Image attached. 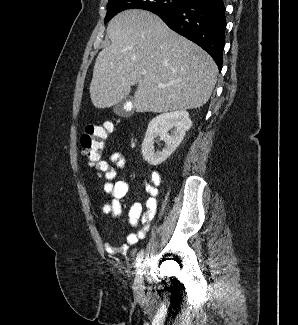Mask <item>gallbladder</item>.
<instances>
[{
    "label": "gallbladder",
    "instance_id": "bac80fb5",
    "mask_svg": "<svg viewBox=\"0 0 298 325\" xmlns=\"http://www.w3.org/2000/svg\"><path fill=\"white\" fill-rule=\"evenodd\" d=\"M129 100L130 96L123 98L121 102H118V104H115V106H113V112H115V114H118V116H128L130 110H127L126 104L129 102Z\"/></svg>",
    "mask_w": 298,
    "mask_h": 325
}]
</instances>
